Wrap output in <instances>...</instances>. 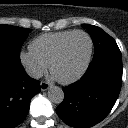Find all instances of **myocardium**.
I'll list each match as a JSON object with an SVG mask.
<instances>
[{"label":"myocardium","instance_id":"1","mask_svg":"<svg viewBox=\"0 0 128 128\" xmlns=\"http://www.w3.org/2000/svg\"><path fill=\"white\" fill-rule=\"evenodd\" d=\"M78 34H82V35L86 36L87 39H88V41H89V51H88V56H87V58L85 60V63L83 64L82 68L75 75H73L72 77L67 78V79H59V78H56L54 76V67L59 62V60L61 59V57L63 55V52H64V49H65V46L68 43V41L73 36L78 35ZM93 49H94L93 39H92L91 35L88 32H86L84 30H75V31H73L69 36H67L62 41V43L58 47V50L56 51L54 57L52 58V60H51V62L49 64V70H50L51 74L61 84L67 85V84H72V83L76 82L77 80H79L86 73V71H87V69H88V67H89V65L91 63V60H92Z\"/></svg>","mask_w":128,"mask_h":128}]
</instances>
